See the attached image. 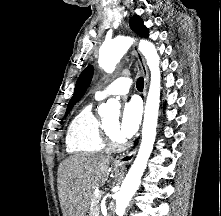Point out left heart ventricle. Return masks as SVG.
Returning a JSON list of instances; mask_svg holds the SVG:
<instances>
[{"instance_id": "b2bd125f", "label": "left heart ventricle", "mask_w": 221, "mask_h": 216, "mask_svg": "<svg viewBox=\"0 0 221 216\" xmlns=\"http://www.w3.org/2000/svg\"><path fill=\"white\" fill-rule=\"evenodd\" d=\"M117 123H118V118L117 116H111L105 121V124L109 128V130L117 137L119 138L117 134Z\"/></svg>"}]
</instances>
